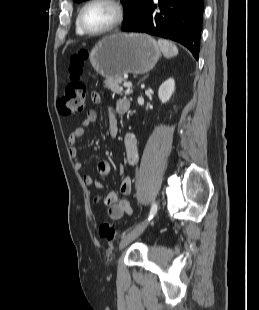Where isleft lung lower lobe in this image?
<instances>
[{"mask_svg":"<svg viewBox=\"0 0 259 310\" xmlns=\"http://www.w3.org/2000/svg\"><path fill=\"white\" fill-rule=\"evenodd\" d=\"M204 0H150L122 31L144 32L177 41L199 58Z\"/></svg>","mask_w":259,"mask_h":310,"instance_id":"1","label":"left lung lower lobe"}]
</instances>
